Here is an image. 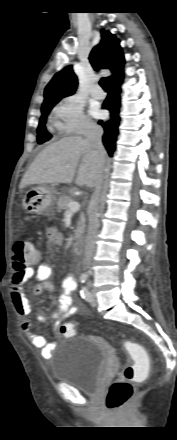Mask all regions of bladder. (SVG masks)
Masks as SVG:
<instances>
[{"label": "bladder", "instance_id": "bladder-1", "mask_svg": "<svg viewBox=\"0 0 177 440\" xmlns=\"http://www.w3.org/2000/svg\"><path fill=\"white\" fill-rule=\"evenodd\" d=\"M108 361L109 348L103 340L78 337L72 345L57 347L50 375L55 382L68 383L85 394L96 395Z\"/></svg>", "mask_w": 177, "mask_h": 440}]
</instances>
